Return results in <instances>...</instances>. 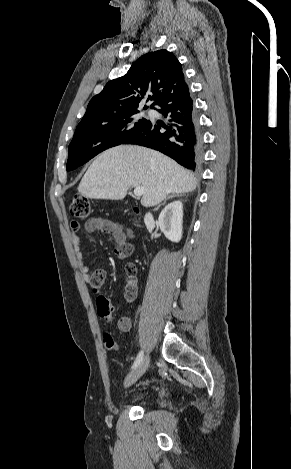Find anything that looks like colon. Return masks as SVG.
<instances>
[{"label":"colon","instance_id":"colon-1","mask_svg":"<svg viewBox=\"0 0 291 469\" xmlns=\"http://www.w3.org/2000/svg\"><path fill=\"white\" fill-rule=\"evenodd\" d=\"M69 212L73 217L78 219H86L91 214V205L89 199L84 195H76L70 205ZM132 251V247L129 244H124L117 249L118 256L129 255ZM136 267L134 264L129 263L125 265V274L127 277V290L130 297L137 291L136 281ZM96 303V310L99 312V318L106 320L111 318L113 306L109 304L108 293H97L94 299ZM104 345L107 350L115 351L117 349L116 343L110 334L105 333L103 335Z\"/></svg>","mask_w":291,"mask_h":469}]
</instances>
